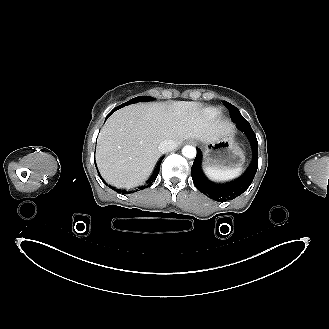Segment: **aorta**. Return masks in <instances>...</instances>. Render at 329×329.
<instances>
[{"label": "aorta", "mask_w": 329, "mask_h": 329, "mask_svg": "<svg viewBox=\"0 0 329 329\" xmlns=\"http://www.w3.org/2000/svg\"><path fill=\"white\" fill-rule=\"evenodd\" d=\"M182 154L184 157L192 159L196 156V148L191 145H186L182 148Z\"/></svg>", "instance_id": "obj_1"}]
</instances>
